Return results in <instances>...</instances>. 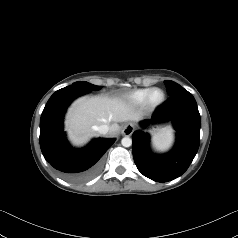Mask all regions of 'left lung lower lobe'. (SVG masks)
<instances>
[{
	"mask_svg": "<svg viewBox=\"0 0 238 238\" xmlns=\"http://www.w3.org/2000/svg\"><path fill=\"white\" fill-rule=\"evenodd\" d=\"M172 121L176 130V143L167 154L157 155L150 150L149 135L137 130L132 135L133 157L138 170L156 182H167L181 176L193 161L200 144V114L193 95L185 89L171 95L158 106L149 124Z\"/></svg>",
	"mask_w": 238,
	"mask_h": 238,
	"instance_id": "1",
	"label": "left lung lower lobe"
}]
</instances>
